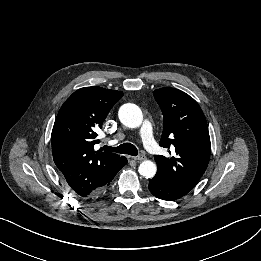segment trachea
<instances>
[{
	"instance_id": "3493384b",
	"label": "trachea",
	"mask_w": 261,
	"mask_h": 261,
	"mask_svg": "<svg viewBox=\"0 0 261 261\" xmlns=\"http://www.w3.org/2000/svg\"><path fill=\"white\" fill-rule=\"evenodd\" d=\"M106 149L111 151V152L128 154V155H131V156H137L138 155L137 148L131 143H123L118 147H107Z\"/></svg>"
}]
</instances>
